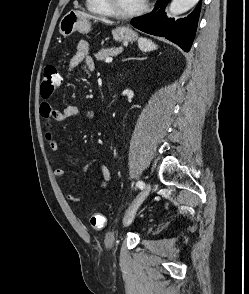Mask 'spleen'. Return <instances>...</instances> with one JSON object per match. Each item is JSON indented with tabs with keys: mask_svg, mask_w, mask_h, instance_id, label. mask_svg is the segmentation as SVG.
<instances>
[{
	"mask_svg": "<svg viewBox=\"0 0 249 294\" xmlns=\"http://www.w3.org/2000/svg\"><path fill=\"white\" fill-rule=\"evenodd\" d=\"M138 45L139 48L144 52L153 51L157 49V45L155 43L143 37L139 38Z\"/></svg>",
	"mask_w": 249,
	"mask_h": 294,
	"instance_id": "1",
	"label": "spleen"
}]
</instances>
